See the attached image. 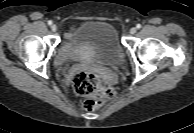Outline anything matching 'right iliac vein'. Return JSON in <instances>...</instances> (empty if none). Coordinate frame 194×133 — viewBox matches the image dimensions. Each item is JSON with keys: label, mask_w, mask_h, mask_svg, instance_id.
Masks as SVG:
<instances>
[{"label": "right iliac vein", "mask_w": 194, "mask_h": 133, "mask_svg": "<svg viewBox=\"0 0 194 133\" xmlns=\"http://www.w3.org/2000/svg\"><path fill=\"white\" fill-rule=\"evenodd\" d=\"M51 30H52L53 32L57 31V26H56L55 24H53V25L51 26Z\"/></svg>", "instance_id": "right-iliac-vein-1"}]
</instances>
